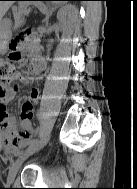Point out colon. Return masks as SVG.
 Wrapping results in <instances>:
<instances>
[{
	"instance_id": "5ec220e1",
	"label": "colon",
	"mask_w": 137,
	"mask_h": 189,
	"mask_svg": "<svg viewBox=\"0 0 137 189\" xmlns=\"http://www.w3.org/2000/svg\"><path fill=\"white\" fill-rule=\"evenodd\" d=\"M31 37V32L17 35L10 43V52L7 57H0V86L6 83L13 72V63L21 58L19 48ZM30 110V107H29ZM20 134H23L20 131Z\"/></svg>"
}]
</instances>
